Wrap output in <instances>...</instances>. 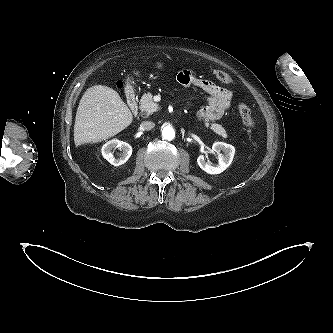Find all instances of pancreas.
I'll use <instances>...</instances> for the list:
<instances>
[{"mask_svg": "<svg viewBox=\"0 0 333 333\" xmlns=\"http://www.w3.org/2000/svg\"><path fill=\"white\" fill-rule=\"evenodd\" d=\"M158 109V104L153 101V95L150 92L143 94L140 100L141 115L149 116L153 112H156ZM204 125L206 127H210V129L219 136L224 138L227 137L226 131L221 125L215 122L209 123L207 120L205 121Z\"/></svg>", "mask_w": 333, "mask_h": 333, "instance_id": "1", "label": "pancreas"}]
</instances>
